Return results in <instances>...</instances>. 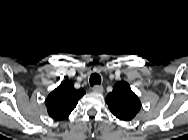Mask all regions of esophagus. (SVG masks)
<instances>
[{
    "mask_svg": "<svg viewBox=\"0 0 188 140\" xmlns=\"http://www.w3.org/2000/svg\"><path fill=\"white\" fill-rule=\"evenodd\" d=\"M92 91L95 93H102L103 92V87L101 85H94L92 87Z\"/></svg>",
    "mask_w": 188,
    "mask_h": 140,
    "instance_id": "1",
    "label": "esophagus"
}]
</instances>
